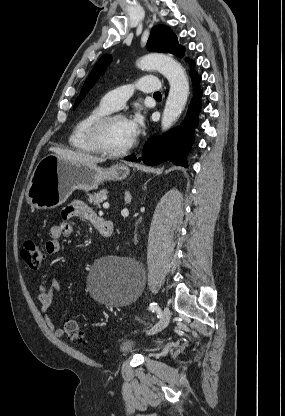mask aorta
I'll return each mask as SVG.
<instances>
[{
    "label": "aorta",
    "mask_w": 285,
    "mask_h": 416,
    "mask_svg": "<svg viewBox=\"0 0 285 416\" xmlns=\"http://www.w3.org/2000/svg\"><path fill=\"white\" fill-rule=\"evenodd\" d=\"M137 66L142 70H157L168 80L170 90L163 110L161 127L169 130L181 115L189 95V82L182 66L169 56L148 54Z\"/></svg>",
    "instance_id": "obj_1"
}]
</instances>
